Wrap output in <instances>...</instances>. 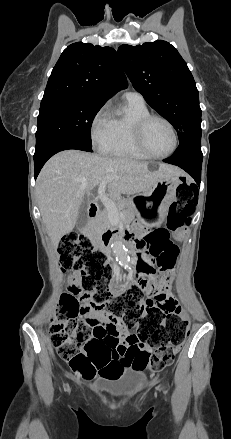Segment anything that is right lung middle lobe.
Wrapping results in <instances>:
<instances>
[{"label": "right lung middle lobe", "mask_w": 231, "mask_h": 439, "mask_svg": "<svg viewBox=\"0 0 231 439\" xmlns=\"http://www.w3.org/2000/svg\"><path fill=\"white\" fill-rule=\"evenodd\" d=\"M102 102L86 99H58L41 102L36 131L39 153L59 139L77 141L92 148L91 125Z\"/></svg>", "instance_id": "right-lung-middle-lobe-1"}]
</instances>
